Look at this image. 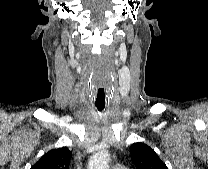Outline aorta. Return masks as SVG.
<instances>
[{"label":"aorta","instance_id":"762f6f07","mask_svg":"<svg viewBox=\"0 0 208 169\" xmlns=\"http://www.w3.org/2000/svg\"><path fill=\"white\" fill-rule=\"evenodd\" d=\"M108 161V151L100 149L91 156L87 169H109Z\"/></svg>","mask_w":208,"mask_h":169}]
</instances>
